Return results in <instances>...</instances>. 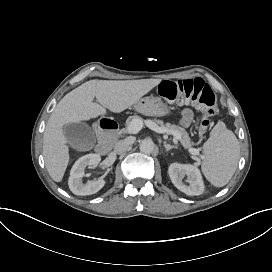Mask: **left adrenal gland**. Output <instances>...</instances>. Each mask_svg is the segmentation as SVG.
<instances>
[{"mask_svg":"<svg viewBox=\"0 0 272 272\" xmlns=\"http://www.w3.org/2000/svg\"><path fill=\"white\" fill-rule=\"evenodd\" d=\"M164 146H165L166 151H169V150H171L173 148H175V149L178 148V146L169 145L167 142H164Z\"/></svg>","mask_w":272,"mask_h":272,"instance_id":"obj_1","label":"left adrenal gland"}]
</instances>
